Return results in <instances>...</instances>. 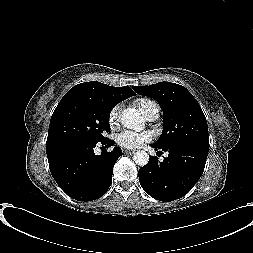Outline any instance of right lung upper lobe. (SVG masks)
<instances>
[{
    "label": "right lung upper lobe",
    "instance_id": "cb5924a9",
    "mask_svg": "<svg viewBox=\"0 0 253 253\" xmlns=\"http://www.w3.org/2000/svg\"><path fill=\"white\" fill-rule=\"evenodd\" d=\"M80 95L92 99L102 100L113 107L119 102L134 96L135 92L130 87H112L100 82L92 81L72 87L65 95Z\"/></svg>",
    "mask_w": 253,
    "mask_h": 253
}]
</instances>
